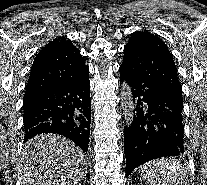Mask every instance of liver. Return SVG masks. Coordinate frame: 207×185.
<instances>
[{"label": "liver", "mask_w": 207, "mask_h": 185, "mask_svg": "<svg viewBox=\"0 0 207 185\" xmlns=\"http://www.w3.org/2000/svg\"><path fill=\"white\" fill-rule=\"evenodd\" d=\"M20 163V185H78L87 165L80 147L53 133L25 143Z\"/></svg>", "instance_id": "liver-1"}]
</instances>
